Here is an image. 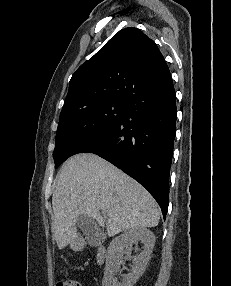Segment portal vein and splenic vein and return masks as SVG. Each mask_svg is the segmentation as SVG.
Returning <instances> with one entry per match:
<instances>
[{
  "label": "portal vein and splenic vein",
  "instance_id": "portal-vein-and-splenic-vein-1",
  "mask_svg": "<svg viewBox=\"0 0 231 286\" xmlns=\"http://www.w3.org/2000/svg\"><path fill=\"white\" fill-rule=\"evenodd\" d=\"M102 214H106V210L105 209H102Z\"/></svg>",
  "mask_w": 231,
  "mask_h": 286
}]
</instances>
